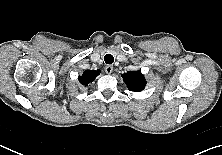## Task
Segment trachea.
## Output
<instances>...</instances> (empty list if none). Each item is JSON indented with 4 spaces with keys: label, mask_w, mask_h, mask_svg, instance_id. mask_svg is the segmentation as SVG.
<instances>
[{
    "label": "trachea",
    "mask_w": 222,
    "mask_h": 155,
    "mask_svg": "<svg viewBox=\"0 0 222 155\" xmlns=\"http://www.w3.org/2000/svg\"><path fill=\"white\" fill-rule=\"evenodd\" d=\"M104 61L106 64H112L114 62V57L111 54H106L104 56Z\"/></svg>",
    "instance_id": "1"
}]
</instances>
